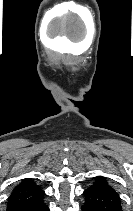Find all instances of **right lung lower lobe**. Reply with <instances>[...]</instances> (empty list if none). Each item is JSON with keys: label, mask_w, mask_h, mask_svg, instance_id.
Wrapping results in <instances>:
<instances>
[{"label": "right lung lower lobe", "mask_w": 133, "mask_h": 211, "mask_svg": "<svg viewBox=\"0 0 133 211\" xmlns=\"http://www.w3.org/2000/svg\"><path fill=\"white\" fill-rule=\"evenodd\" d=\"M13 211H49L48 206L45 204L43 198L31 205L22 207V208H18V209H14Z\"/></svg>", "instance_id": "right-lung-lower-lobe-1"}]
</instances>
